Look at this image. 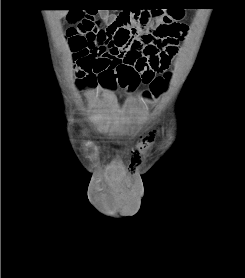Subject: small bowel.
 <instances>
[{"mask_svg": "<svg viewBox=\"0 0 245 278\" xmlns=\"http://www.w3.org/2000/svg\"><path fill=\"white\" fill-rule=\"evenodd\" d=\"M106 23L113 21L116 16L103 11L101 14ZM165 18H170L166 15ZM176 27L183 34H188V26L184 23H176ZM87 31L79 32V37L86 40ZM97 49H104L103 57L92 58L88 54L80 52L76 58V67L84 72L85 83L91 88H102L113 91L119 86L121 78H128L132 75L138 76L142 81L144 75H155L165 72L170 67V60L175 52L165 50L160 54L148 53L147 48H140L136 51H130L128 48H118L115 46H100L96 44ZM90 66L89 71L85 68Z\"/></svg>", "mask_w": 245, "mask_h": 278, "instance_id": "1", "label": "small bowel"}]
</instances>
